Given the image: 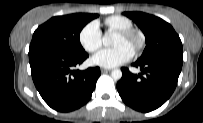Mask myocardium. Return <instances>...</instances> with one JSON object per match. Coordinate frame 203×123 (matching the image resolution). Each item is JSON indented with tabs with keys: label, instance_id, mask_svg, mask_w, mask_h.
<instances>
[{
	"label": "myocardium",
	"instance_id": "1",
	"mask_svg": "<svg viewBox=\"0 0 203 123\" xmlns=\"http://www.w3.org/2000/svg\"><path fill=\"white\" fill-rule=\"evenodd\" d=\"M117 34H119L120 36L126 38V39H132L134 40V49H133V53L137 54L139 53L143 46H144V38L142 36L141 33H139L138 31L134 30V29H127V30H119L117 31Z\"/></svg>",
	"mask_w": 203,
	"mask_h": 123
}]
</instances>
